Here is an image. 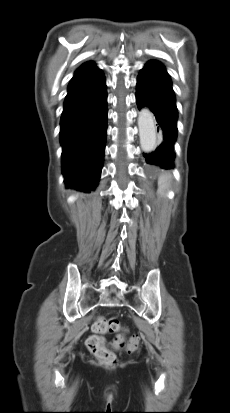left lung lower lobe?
Masks as SVG:
<instances>
[{
    "instance_id": "0a47b994",
    "label": "left lung lower lobe",
    "mask_w": 230,
    "mask_h": 413,
    "mask_svg": "<svg viewBox=\"0 0 230 413\" xmlns=\"http://www.w3.org/2000/svg\"><path fill=\"white\" fill-rule=\"evenodd\" d=\"M136 102L139 109L144 106L150 108L159 124L158 129L161 128L164 135L163 142L155 151L143 154L146 162L164 169L173 168L178 111L170 76L161 62L151 60L140 71Z\"/></svg>"
}]
</instances>
